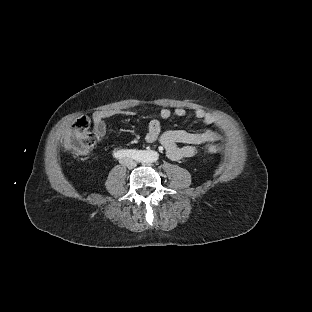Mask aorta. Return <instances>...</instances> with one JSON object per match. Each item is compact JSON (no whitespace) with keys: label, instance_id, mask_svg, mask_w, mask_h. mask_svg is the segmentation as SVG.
<instances>
[{"label":"aorta","instance_id":"762f6f07","mask_svg":"<svg viewBox=\"0 0 312 312\" xmlns=\"http://www.w3.org/2000/svg\"><path fill=\"white\" fill-rule=\"evenodd\" d=\"M159 158V153L157 151H152L151 155L149 156V162H156Z\"/></svg>","mask_w":312,"mask_h":312}]
</instances>
